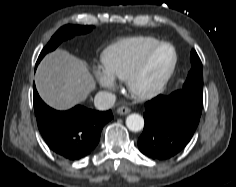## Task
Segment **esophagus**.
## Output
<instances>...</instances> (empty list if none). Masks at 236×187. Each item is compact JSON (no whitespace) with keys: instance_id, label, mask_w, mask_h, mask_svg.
Here are the masks:
<instances>
[{"instance_id":"esophagus-1","label":"esophagus","mask_w":236,"mask_h":187,"mask_svg":"<svg viewBox=\"0 0 236 187\" xmlns=\"http://www.w3.org/2000/svg\"><path fill=\"white\" fill-rule=\"evenodd\" d=\"M130 112V109L128 107L122 106L117 109V113L120 115H126Z\"/></svg>"}]
</instances>
